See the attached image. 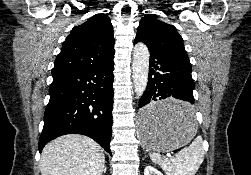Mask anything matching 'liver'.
Returning <instances> with one entry per match:
<instances>
[{
  "label": "liver",
  "instance_id": "obj_1",
  "mask_svg": "<svg viewBox=\"0 0 251 175\" xmlns=\"http://www.w3.org/2000/svg\"><path fill=\"white\" fill-rule=\"evenodd\" d=\"M104 153L99 143L86 135H61L45 145L41 175H101Z\"/></svg>",
  "mask_w": 251,
  "mask_h": 175
}]
</instances>
